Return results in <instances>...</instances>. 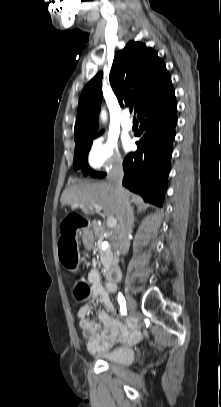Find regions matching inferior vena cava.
<instances>
[{
  "mask_svg": "<svg viewBox=\"0 0 221 407\" xmlns=\"http://www.w3.org/2000/svg\"><path fill=\"white\" fill-rule=\"evenodd\" d=\"M123 177L122 161H117L114 163L108 175V182L114 187V192L120 205L117 244L119 252L125 255L130 246L129 236L132 233L133 220L131 218L132 208L129 203L127 191L122 186Z\"/></svg>",
  "mask_w": 221,
  "mask_h": 407,
  "instance_id": "inferior-vena-cava-1",
  "label": "inferior vena cava"
}]
</instances>
